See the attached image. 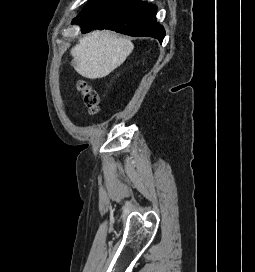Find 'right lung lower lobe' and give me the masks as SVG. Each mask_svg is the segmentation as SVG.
Masks as SVG:
<instances>
[{
    "label": "right lung lower lobe",
    "mask_w": 255,
    "mask_h": 272,
    "mask_svg": "<svg viewBox=\"0 0 255 272\" xmlns=\"http://www.w3.org/2000/svg\"><path fill=\"white\" fill-rule=\"evenodd\" d=\"M157 7L141 0H91L72 24L83 33L95 29H110L129 36L158 39L165 36L163 26L156 22Z\"/></svg>",
    "instance_id": "1"
}]
</instances>
